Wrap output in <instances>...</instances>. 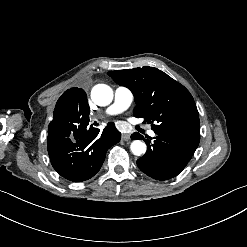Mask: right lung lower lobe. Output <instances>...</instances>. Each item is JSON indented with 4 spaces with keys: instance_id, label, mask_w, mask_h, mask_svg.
<instances>
[{
    "instance_id": "right-lung-lower-lobe-1",
    "label": "right lung lower lobe",
    "mask_w": 247,
    "mask_h": 247,
    "mask_svg": "<svg viewBox=\"0 0 247 247\" xmlns=\"http://www.w3.org/2000/svg\"><path fill=\"white\" fill-rule=\"evenodd\" d=\"M88 125L89 118L79 122L65 135H48L47 148L53 168L73 182L93 177L100 170L107 150L121 139V133L113 122L102 134Z\"/></svg>"
}]
</instances>
